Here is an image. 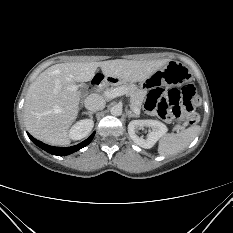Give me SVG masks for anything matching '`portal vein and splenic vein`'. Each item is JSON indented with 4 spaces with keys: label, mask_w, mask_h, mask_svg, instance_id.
I'll use <instances>...</instances> for the list:
<instances>
[{
    "label": "portal vein and splenic vein",
    "mask_w": 233,
    "mask_h": 233,
    "mask_svg": "<svg viewBox=\"0 0 233 233\" xmlns=\"http://www.w3.org/2000/svg\"><path fill=\"white\" fill-rule=\"evenodd\" d=\"M124 94H127V92L123 87H116L114 89L104 91V96L109 98V99H113V98H116L118 96H122ZM131 108L135 114H137V115L140 114V110L138 108L133 107L132 105H131Z\"/></svg>",
    "instance_id": "portal-vein-and-splenic-vein-1"
}]
</instances>
